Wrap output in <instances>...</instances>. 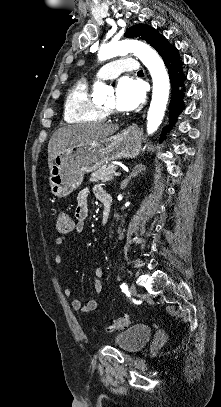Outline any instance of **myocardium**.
<instances>
[{
    "mask_svg": "<svg viewBox=\"0 0 221 407\" xmlns=\"http://www.w3.org/2000/svg\"><path fill=\"white\" fill-rule=\"evenodd\" d=\"M103 111L105 112L106 115H112L117 112L115 107H107L105 105L102 106Z\"/></svg>",
    "mask_w": 221,
    "mask_h": 407,
    "instance_id": "1",
    "label": "myocardium"
}]
</instances>
